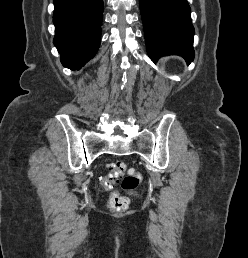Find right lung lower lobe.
I'll return each mask as SVG.
<instances>
[{"label": "right lung lower lobe", "instance_id": "98d812e1", "mask_svg": "<svg viewBox=\"0 0 248 258\" xmlns=\"http://www.w3.org/2000/svg\"><path fill=\"white\" fill-rule=\"evenodd\" d=\"M103 0H54V44L64 67L78 70L96 54Z\"/></svg>", "mask_w": 248, "mask_h": 258}]
</instances>
